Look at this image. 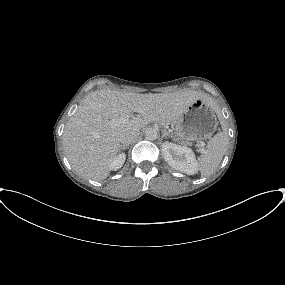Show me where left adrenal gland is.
<instances>
[{
    "mask_svg": "<svg viewBox=\"0 0 285 285\" xmlns=\"http://www.w3.org/2000/svg\"><path fill=\"white\" fill-rule=\"evenodd\" d=\"M167 136H170V135L165 132V133L163 134V137H167Z\"/></svg>",
    "mask_w": 285,
    "mask_h": 285,
    "instance_id": "a2214340",
    "label": "left adrenal gland"
}]
</instances>
